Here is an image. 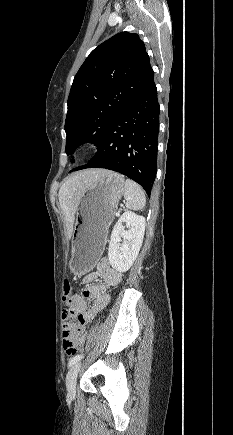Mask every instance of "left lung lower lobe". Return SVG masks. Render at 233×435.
<instances>
[{"label": "left lung lower lobe", "instance_id": "left-lung-lower-lobe-1", "mask_svg": "<svg viewBox=\"0 0 233 435\" xmlns=\"http://www.w3.org/2000/svg\"><path fill=\"white\" fill-rule=\"evenodd\" d=\"M159 104L154 78L110 125L86 168H105L139 183L150 196L156 175Z\"/></svg>", "mask_w": 233, "mask_h": 435}]
</instances>
